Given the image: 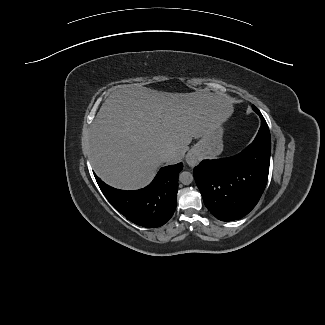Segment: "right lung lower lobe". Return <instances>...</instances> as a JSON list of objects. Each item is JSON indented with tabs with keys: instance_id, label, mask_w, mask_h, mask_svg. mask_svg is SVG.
<instances>
[{
	"instance_id": "1",
	"label": "right lung lower lobe",
	"mask_w": 325,
	"mask_h": 325,
	"mask_svg": "<svg viewBox=\"0 0 325 325\" xmlns=\"http://www.w3.org/2000/svg\"><path fill=\"white\" fill-rule=\"evenodd\" d=\"M182 168V163L163 167L150 185L135 191L115 189L96 175L95 178L107 200L128 220L143 227H159L176 209L178 175Z\"/></svg>"
}]
</instances>
